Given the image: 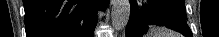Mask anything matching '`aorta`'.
<instances>
[{
    "label": "aorta",
    "instance_id": "aorta-1",
    "mask_svg": "<svg viewBox=\"0 0 219 37\" xmlns=\"http://www.w3.org/2000/svg\"><path fill=\"white\" fill-rule=\"evenodd\" d=\"M130 17L129 0H113L111 10V22L115 31L126 28Z\"/></svg>",
    "mask_w": 219,
    "mask_h": 37
}]
</instances>
